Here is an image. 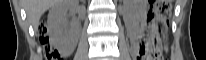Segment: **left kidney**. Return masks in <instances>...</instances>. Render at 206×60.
<instances>
[{
	"instance_id": "5707ae66",
	"label": "left kidney",
	"mask_w": 206,
	"mask_h": 60,
	"mask_svg": "<svg viewBox=\"0 0 206 60\" xmlns=\"http://www.w3.org/2000/svg\"><path fill=\"white\" fill-rule=\"evenodd\" d=\"M147 1L132 0L128 3L125 20L132 38H139L146 23Z\"/></svg>"
}]
</instances>
